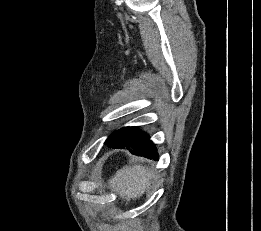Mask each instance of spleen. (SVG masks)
Masks as SVG:
<instances>
[{
  "label": "spleen",
  "instance_id": "obj_1",
  "mask_svg": "<svg viewBox=\"0 0 261 231\" xmlns=\"http://www.w3.org/2000/svg\"><path fill=\"white\" fill-rule=\"evenodd\" d=\"M155 173L142 165L125 166L109 180V187L130 200L142 196L149 189Z\"/></svg>",
  "mask_w": 261,
  "mask_h": 231
}]
</instances>
